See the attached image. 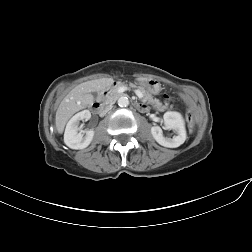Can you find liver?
Masks as SVG:
<instances>
[{"label":"liver","instance_id":"liver-1","mask_svg":"<svg viewBox=\"0 0 252 252\" xmlns=\"http://www.w3.org/2000/svg\"><path fill=\"white\" fill-rule=\"evenodd\" d=\"M112 78H102L84 82L74 89L60 103L55 118V126L60 132L67 120L77 111L90 105L94 97L91 92H99L110 88L113 85Z\"/></svg>","mask_w":252,"mask_h":252}]
</instances>
